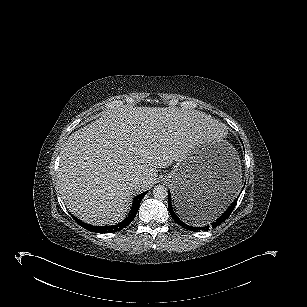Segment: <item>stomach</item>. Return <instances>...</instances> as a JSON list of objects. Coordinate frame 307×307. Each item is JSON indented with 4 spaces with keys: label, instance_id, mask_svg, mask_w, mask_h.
I'll list each match as a JSON object with an SVG mask.
<instances>
[{
    "label": "stomach",
    "instance_id": "stomach-1",
    "mask_svg": "<svg viewBox=\"0 0 307 307\" xmlns=\"http://www.w3.org/2000/svg\"><path fill=\"white\" fill-rule=\"evenodd\" d=\"M164 180L178 213L188 220L202 210L229 205L240 190V161L231 144L213 140L184 152Z\"/></svg>",
    "mask_w": 307,
    "mask_h": 307
}]
</instances>
